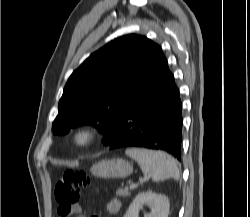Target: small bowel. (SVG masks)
I'll use <instances>...</instances> for the list:
<instances>
[{
	"label": "small bowel",
	"mask_w": 250,
	"mask_h": 217,
	"mask_svg": "<svg viewBox=\"0 0 250 217\" xmlns=\"http://www.w3.org/2000/svg\"><path fill=\"white\" fill-rule=\"evenodd\" d=\"M105 209H106V212L109 214H117L121 210V201L119 199H112L107 203ZM60 211L61 213H63L62 210ZM81 211H82L81 206L77 205L66 213L78 214V217H85L81 215Z\"/></svg>",
	"instance_id": "obj_1"
}]
</instances>
